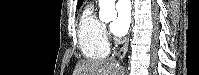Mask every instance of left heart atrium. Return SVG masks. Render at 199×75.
<instances>
[{
  "instance_id": "39dd6f15",
  "label": "left heart atrium",
  "mask_w": 199,
  "mask_h": 75,
  "mask_svg": "<svg viewBox=\"0 0 199 75\" xmlns=\"http://www.w3.org/2000/svg\"><path fill=\"white\" fill-rule=\"evenodd\" d=\"M116 19L112 23V32L114 35L124 36L131 24V7L129 1H119L116 4Z\"/></svg>"
}]
</instances>
